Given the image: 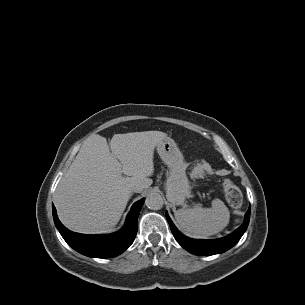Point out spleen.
<instances>
[{
  "instance_id": "3e777b00",
  "label": "spleen",
  "mask_w": 305,
  "mask_h": 305,
  "mask_svg": "<svg viewBox=\"0 0 305 305\" xmlns=\"http://www.w3.org/2000/svg\"><path fill=\"white\" fill-rule=\"evenodd\" d=\"M211 205V208L195 206L175 211L178 227L187 236L196 239H206L222 231L229 223V210L220 199H214Z\"/></svg>"
}]
</instances>
